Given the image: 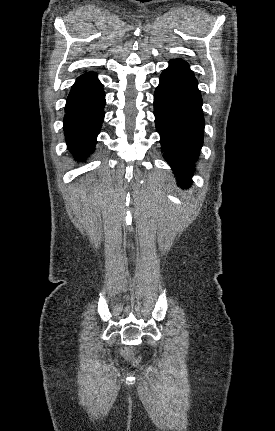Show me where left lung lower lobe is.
<instances>
[{
	"instance_id": "left-lung-lower-lobe-1",
	"label": "left lung lower lobe",
	"mask_w": 275,
	"mask_h": 431,
	"mask_svg": "<svg viewBox=\"0 0 275 431\" xmlns=\"http://www.w3.org/2000/svg\"><path fill=\"white\" fill-rule=\"evenodd\" d=\"M187 62L169 61L154 95V115L161 150L180 187L192 183L204 136L202 97Z\"/></svg>"
}]
</instances>
